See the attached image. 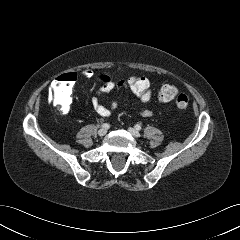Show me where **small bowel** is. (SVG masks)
<instances>
[{"instance_id": "1", "label": "small bowel", "mask_w": 240, "mask_h": 240, "mask_svg": "<svg viewBox=\"0 0 240 240\" xmlns=\"http://www.w3.org/2000/svg\"><path fill=\"white\" fill-rule=\"evenodd\" d=\"M82 74L87 78H93L94 72L90 69H85ZM116 90L118 94H122L124 92H128L126 88L125 80L114 81L110 77L106 81H103V84L99 87L97 80L91 86L90 91L94 93V96L91 99V104L94 111L102 116L108 117L111 113L118 107L119 98H116L110 105H104L100 102L99 97L105 94L110 93L111 91ZM153 115V111L150 109H143L141 111V116L145 118H149Z\"/></svg>"}]
</instances>
